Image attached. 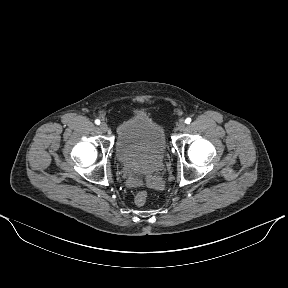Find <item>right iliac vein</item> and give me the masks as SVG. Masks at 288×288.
I'll return each mask as SVG.
<instances>
[{"label": "right iliac vein", "instance_id": "obj_1", "mask_svg": "<svg viewBox=\"0 0 288 288\" xmlns=\"http://www.w3.org/2000/svg\"><path fill=\"white\" fill-rule=\"evenodd\" d=\"M99 127L102 132H106L108 130V126L105 122H102Z\"/></svg>", "mask_w": 288, "mask_h": 288}]
</instances>
